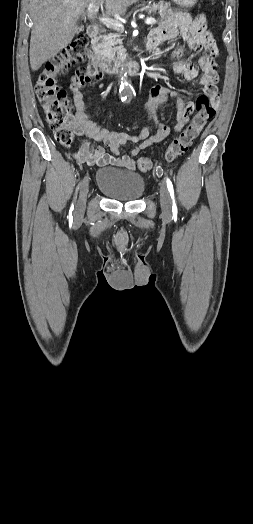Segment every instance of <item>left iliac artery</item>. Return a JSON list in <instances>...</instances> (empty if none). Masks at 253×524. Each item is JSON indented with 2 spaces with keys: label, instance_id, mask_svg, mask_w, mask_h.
<instances>
[{
  "label": "left iliac artery",
  "instance_id": "obj_1",
  "mask_svg": "<svg viewBox=\"0 0 253 524\" xmlns=\"http://www.w3.org/2000/svg\"><path fill=\"white\" fill-rule=\"evenodd\" d=\"M166 183H167V188H168V191H169L171 199H172V212H173L174 215H176L177 214V206H176V203H175L173 185H172V182L170 181L169 178H167Z\"/></svg>",
  "mask_w": 253,
  "mask_h": 524
}]
</instances>
